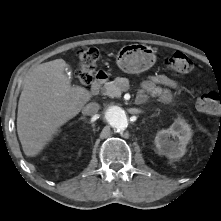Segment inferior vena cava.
Wrapping results in <instances>:
<instances>
[{
    "instance_id": "inferior-vena-cava-1",
    "label": "inferior vena cava",
    "mask_w": 221,
    "mask_h": 221,
    "mask_svg": "<svg viewBox=\"0 0 221 221\" xmlns=\"http://www.w3.org/2000/svg\"><path fill=\"white\" fill-rule=\"evenodd\" d=\"M100 109V105L96 102H91L87 104L85 107L82 109V114L86 116H93L98 112Z\"/></svg>"
}]
</instances>
